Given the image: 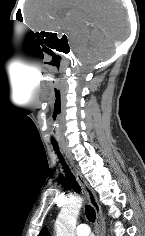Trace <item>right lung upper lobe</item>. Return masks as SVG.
Instances as JSON below:
<instances>
[{
	"mask_svg": "<svg viewBox=\"0 0 145 236\" xmlns=\"http://www.w3.org/2000/svg\"><path fill=\"white\" fill-rule=\"evenodd\" d=\"M39 236H49V232L44 228V229H42V231L40 232Z\"/></svg>",
	"mask_w": 145,
	"mask_h": 236,
	"instance_id": "cb5924a9",
	"label": "right lung upper lobe"
}]
</instances>
